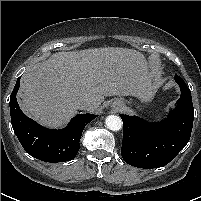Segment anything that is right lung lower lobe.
<instances>
[{
  "label": "right lung lower lobe",
  "instance_id": "obj_1",
  "mask_svg": "<svg viewBox=\"0 0 201 201\" xmlns=\"http://www.w3.org/2000/svg\"><path fill=\"white\" fill-rule=\"evenodd\" d=\"M20 78L10 96V114L13 130L25 151L32 157L45 162H66L72 160L80 148V138L84 127L97 115L78 114L61 130L45 128L20 109L16 93Z\"/></svg>",
  "mask_w": 201,
  "mask_h": 201
}]
</instances>
